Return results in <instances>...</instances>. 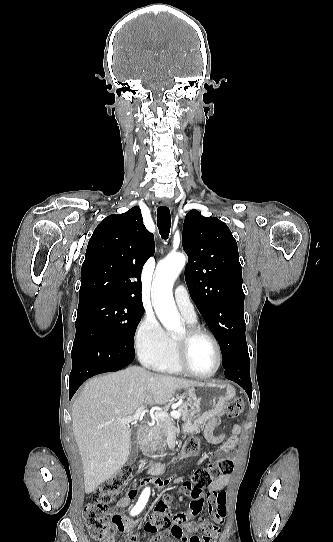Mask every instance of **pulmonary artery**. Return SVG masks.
Masks as SVG:
<instances>
[{"mask_svg":"<svg viewBox=\"0 0 333 542\" xmlns=\"http://www.w3.org/2000/svg\"><path fill=\"white\" fill-rule=\"evenodd\" d=\"M188 292L189 287L187 285L180 286L179 290L176 288L174 292L175 303L180 313L187 320L195 322L197 320V314L190 296L187 294Z\"/></svg>","mask_w":333,"mask_h":542,"instance_id":"1","label":"pulmonary artery"}]
</instances>
